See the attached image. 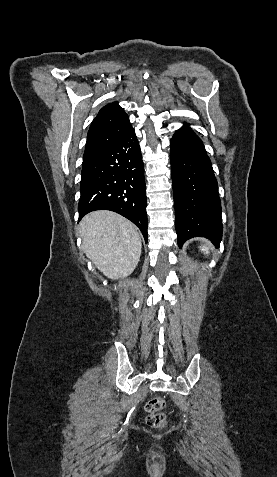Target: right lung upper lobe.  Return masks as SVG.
Returning <instances> with one entry per match:
<instances>
[{
    "instance_id": "obj_1",
    "label": "right lung upper lobe",
    "mask_w": 277,
    "mask_h": 477,
    "mask_svg": "<svg viewBox=\"0 0 277 477\" xmlns=\"http://www.w3.org/2000/svg\"><path fill=\"white\" fill-rule=\"evenodd\" d=\"M132 128L129 117L118 102L104 106L91 123L83 156L101 150L124 136Z\"/></svg>"
}]
</instances>
